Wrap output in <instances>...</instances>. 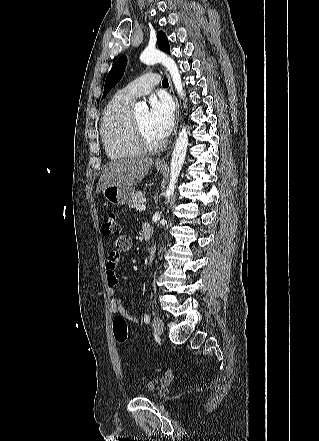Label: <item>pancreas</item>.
I'll list each match as a JSON object with an SVG mask.
<instances>
[{
  "label": "pancreas",
  "mask_w": 319,
  "mask_h": 441,
  "mask_svg": "<svg viewBox=\"0 0 319 441\" xmlns=\"http://www.w3.org/2000/svg\"><path fill=\"white\" fill-rule=\"evenodd\" d=\"M145 199L144 194L141 191L136 192L132 201L129 203V208L138 210L139 207L143 204Z\"/></svg>",
  "instance_id": "obj_1"
}]
</instances>
